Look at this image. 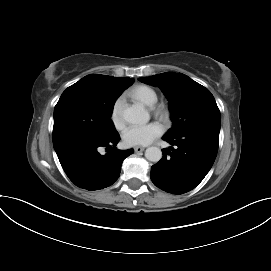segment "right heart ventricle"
Returning <instances> with one entry per match:
<instances>
[{"label":"right heart ventricle","mask_w":271,"mask_h":271,"mask_svg":"<svg viewBox=\"0 0 271 271\" xmlns=\"http://www.w3.org/2000/svg\"><path fill=\"white\" fill-rule=\"evenodd\" d=\"M130 95L134 99L149 107L154 106L158 100L157 92L147 85H138L134 87L130 91Z\"/></svg>","instance_id":"right-heart-ventricle-1"}]
</instances>
